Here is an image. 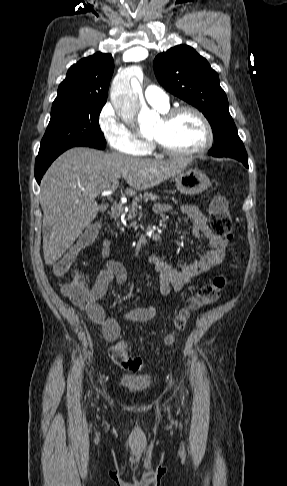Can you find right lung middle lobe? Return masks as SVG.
<instances>
[{
    "instance_id": "right-lung-middle-lobe-1",
    "label": "right lung middle lobe",
    "mask_w": 287,
    "mask_h": 486,
    "mask_svg": "<svg viewBox=\"0 0 287 486\" xmlns=\"http://www.w3.org/2000/svg\"><path fill=\"white\" fill-rule=\"evenodd\" d=\"M105 103L83 101L53 106L38 155L75 146L104 149L106 141L98 119Z\"/></svg>"
}]
</instances>
